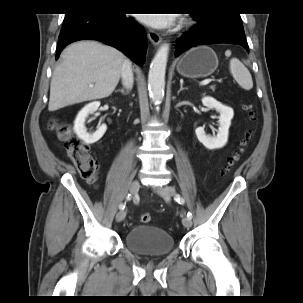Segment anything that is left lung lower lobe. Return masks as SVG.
I'll return each instance as SVG.
<instances>
[{
    "instance_id": "obj_1",
    "label": "left lung lower lobe",
    "mask_w": 303,
    "mask_h": 303,
    "mask_svg": "<svg viewBox=\"0 0 303 303\" xmlns=\"http://www.w3.org/2000/svg\"><path fill=\"white\" fill-rule=\"evenodd\" d=\"M192 17L198 24L177 39L176 56L192 47L215 43L237 44L249 51L242 24H210L201 16Z\"/></svg>"
}]
</instances>
